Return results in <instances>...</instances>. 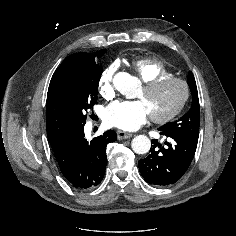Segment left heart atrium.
I'll list each match as a JSON object with an SVG mask.
<instances>
[{"instance_id":"obj_1","label":"left heart atrium","mask_w":236,"mask_h":236,"mask_svg":"<svg viewBox=\"0 0 236 236\" xmlns=\"http://www.w3.org/2000/svg\"><path fill=\"white\" fill-rule=\"evenodd\" d=\"M148 117L149 112L143 101H120L109 106L105 120L110 126L134 131L144 125Z\"/></svg>"}]
</instances>
